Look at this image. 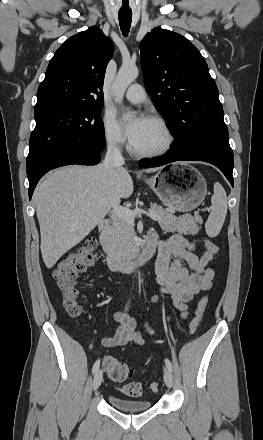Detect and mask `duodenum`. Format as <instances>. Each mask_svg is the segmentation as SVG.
I'll list each match as a JSON object with an SVG mask.
<instances>
[{
    "mask_svg": "<svg viewBox=\"0 0 263 440\" xmlns=\"http://www.w3.org/2000/svg\"><path fill=\"white\" fill-rule=\"evenodd\" d=\"M110 222L102 220L98 224V242L102 247L104 260L109 269L130 273L143 266L155 253L156 244L152 238L144 240L142 248L138 255L131 261H124L118 258L112 251L109 242Z\"/></svg>",
    "mask_w": 263,
    "mask_h": 440,
    "instance_id": "duodenum-1",
    "label": "duodenum"
}]
</instances>
